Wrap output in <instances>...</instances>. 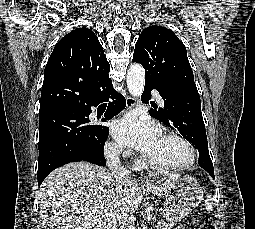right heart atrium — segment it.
<instances>
[{
	"mask_svg": "<svg viewBox=\"0 0 255 229\" xmlns=\"http://www.w3.org/2000/svg\"><path fill=\"white\" fill-rule=\"evenodd\" d=\"M105 154L111 158H117V157H130L132 153L130 151L125 150L121 145L109 142L105 145L104 148Z\"/></svg>",
	"mask_w": 255,
	"mask_h": 229,
	"instance_id": "obj_1",
	"label": "right heart atrium"
}]
</instances>
